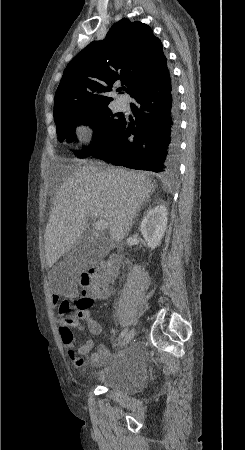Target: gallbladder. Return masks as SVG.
<instances>
[{
	"label": "gallbladder",
	"instance_id": "1",
	"mask_svg": "<svg viewBox=\"0 0 245 450\" xmlns=\"http://www.w3.org/2000/svg\"><path fill=\"white\" fill-rule=\"evenodd\" d=\"M109 252L103 241L89 239L87 236L79 240L67 253L64 262L75 271L103 259Z\"/></svg>",
	"mask_w": 245,
	"mask_h": 450
}]
</instances>
